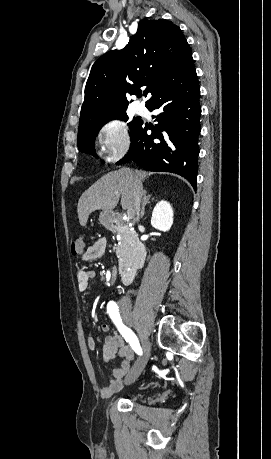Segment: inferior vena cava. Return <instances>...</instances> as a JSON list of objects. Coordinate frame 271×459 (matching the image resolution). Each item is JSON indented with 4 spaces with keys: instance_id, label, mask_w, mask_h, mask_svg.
Listing matches in <instances>:
<instances>
[{
    "instance_id": "inferior-vena-cava-1",
    "label": "inferior vena cava",
    "mask_w": 271,
    "mask_h": 459,
    "mask_svg": "<svg viewBox=\"0 0 271 459\" xmlns=\"http://www.w3.org/2000/svg\"><path fill=\"white\" fill-rule=\"evenodd\" d=\"M141 198L142 192H140L136 186V192H134V210L132 216H136L134 220H137V222H139ZM125 301H128V297H125Z\"/></svg>"
}]
</instances>
